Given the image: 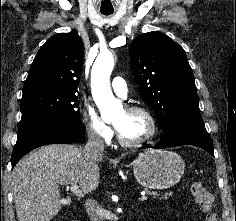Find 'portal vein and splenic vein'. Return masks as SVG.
Here are the masks:
<instances>
[{
    "mask_svg": "<svg viewBox=\"0 0 236 221\" xmlns=\"http://www.w3.org/2000/svg\"><path fill=\"white\" fill-rule=\"evenodd\" d=\"M70 191L77 197H83L84 194H83V191L79 189L78 185L77 184H71L70 187ZM147 196H142L140 197V201H144V200H147Z\"/></svg>",
    "mask_w": 236,
    "mask_h": 221,
    "instance_id": "18ae733b",
    "label": "portal vein and splenic vein"
}]
</instances>
